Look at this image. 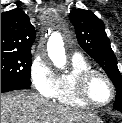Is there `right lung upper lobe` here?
I'll list each match as a JSON object with an SVG mask.
<instances>
[{"instance_id": "obj_1", "label": "right lung upper lobe", "mask_w": 122, "mask_h": 123, "mask_svg": "<svg viewBox=\"0 0 122 123\" xmlns=\"http://www.w3.org/2000/svg\"><path fill=\"white\" fill-rule=\"evenodd\" d=\"M35 30L20 9L1 13V52L31 54Z\"/></svg>"}]
</instances>
